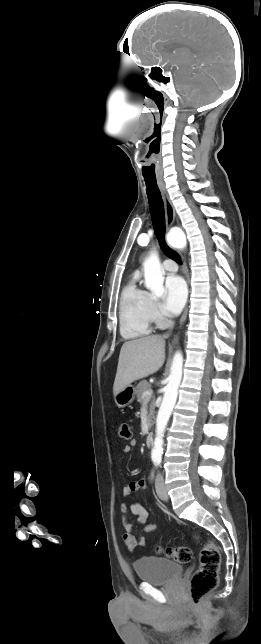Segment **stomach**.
Masks as SVG:
<instances>
[{"label": "stomach", "instance_id": "1", "mask_svg": "<svg viewBox=\"0 0 261 644\" xmlns=\"http://www.w3.org/2000/svg\"><path fill=\"white\" fill-rule=\"evenodd\" d=\"M136 395V388L133 387L132 385H128L125 387L123 390H121L118 394L114 396V401L118 407H126L129 404H131Z\"/></svg>", "mask_w": 261, "mask_h": 644}]
</instances>
